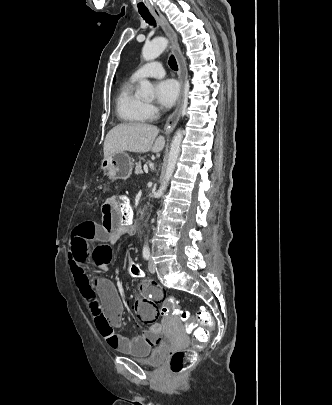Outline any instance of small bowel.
<instances>
[{
    "label": "small bowel",
    "mask_w": 332,
    "mask_h": 405,
    "mask_svg": "<svg viewBox=\"0 0 332 405\" xmlns=\"http://www.w3.org/2000/svg\"><path fill=\"white\" fill-rule=\"evenodd\" d=\"M118 202V195H107L101 208L100 224L83 221L73 227L68 241L69 268L80 298H83L87 306V315L94 320L103 340L110 347L124 353H153L166 340L164 335H159L157 321L160 320L157 317L163 297L168 295L167 288H157L150 280L142 283L139 291V296L142 297L133 302V311L144 321V328L149 329L130 339L115 331L121 325L123 313V305L115 285L90 267L93 242L113 245L127 233V226L120 222Z\"/></svg>",
    "instance_id": "small-bowel-1"
}]
</instances>
